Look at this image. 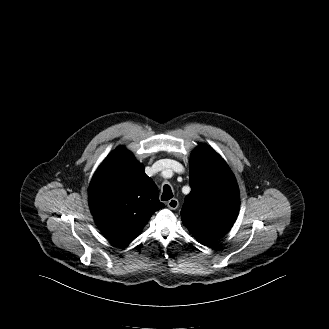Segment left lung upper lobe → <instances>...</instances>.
Listing matches in <instances>:
<instances>
[{
	"label": "left lung upper lobe",
	"mask_w": 329,
	"mask_h": 329,
	"mask_svg": "<svg viewBox=\"0 0 329 329\" xmlns=\"http://www.w3.org/2000/svg\"><path fill=\"white\" fill-rule=\"evenodd\" d=\"M191 192L181 219L192 235L208 246L224 236L236 220L239 191L225 161L210 146L200 144L189 163Z\"/></svg>",
	"instance_id": "left-lung-upper-lobe-1"
}]
</instances>
